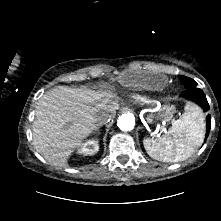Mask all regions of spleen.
Listing matches in <instances>:
<instances>
[{
    "label": "spleen",
    "mask_w": 221,
    "mask_h": 221,
    "mask_svg": "<svg viewBox=\"0 0 221 221\" xmlns=\"http://www.w3.org/2000/svg\"><path fill=\"white\" fill-rule=\"evenodd\" d=\"M204 135V114L197 105L188 103L167 134L158 139L146 138L143 144L150 157L175 163L188 159L203 143Z\"/></svg>",
    "instance_id": "3e777b00"
}]
</instances>
